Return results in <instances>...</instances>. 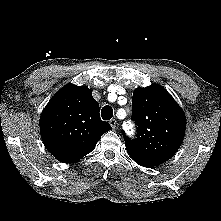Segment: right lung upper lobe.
Masks as SVG:
<instances>
[{"mask_svg": "<svg viewBox=\"0 0 221 221\" xmlns=\"http://www.w3.org/2000/svg\"><path fill=\"white\" fill-rule=\"evenodd\" d=\"M99 104L86 86L68 84L48 102L40 132L48 151L59 161L74 163L94 150L111 126L101 120Z\"/></svg>", "mask_w": 221, "mask_h": 221, "instance_id": "cb5924a9", "label": "right lung upper lobe"}]
</instances>
